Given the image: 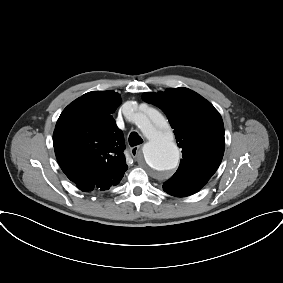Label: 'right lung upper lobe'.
Returning <instances> with one entry per match:
<instances>
[{
	"mask_svg": "<svg viewBox=\"0 0 283 283\" xmlns=\"http://www.w3.org/2000/svg\"><path fill=\"white\" fill-rule=\"evenodd\" d=\"M120 103L113 91L88 92L70 103L56 123V158L69 166L61 169L82 191L107 190L128 169L123 133L111 115Z\"/></svg>",
	"mask_w": 283,
	"mask_h": 283,
	"instance_id": "right-lung-upper-lobe-1",
	"label": "right lung upper lobe"
}]
</instances>
